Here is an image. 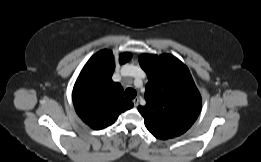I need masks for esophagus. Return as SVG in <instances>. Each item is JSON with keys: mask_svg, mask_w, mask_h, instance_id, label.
Instances as JSON below:
<instances>
[{"mask_svg": "<svg viewBox=\"0 0 261 162\" xmlns=\"http://www.w3.org/2000/svg\"><path fill=\"white\" fill-rule=\"evenodd\" d=\"M133 103H134V106L137 107L139 105V98L136 97L135 99H133Z\"/></svg>", "mask_w": 261, "mask_h": 162, "instance_id": "1", "label": "esophagus"}]
</instances>
